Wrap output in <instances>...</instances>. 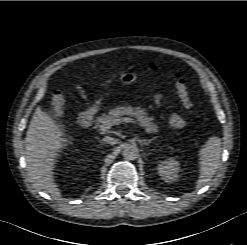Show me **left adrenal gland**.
Wrapping results in <instances>:
<instances>
[{"label":"left adrenal gland","instance_id":"1","mask_svg":"<svg viewBox=\"0 0 247 245\" xmlns=\"http://www.w3.org/2000/svg\"><path fill=\"white\" fill-rule=\"evenodd\" d=\"M152 141H154V138L149 139V140H143V144L148 146Z\"/></svg>","mask_w":247,"mask_h":245}]
</instances>
